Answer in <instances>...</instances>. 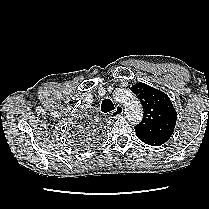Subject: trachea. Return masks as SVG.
<instances>
[{
	"instance_id": "obj_1",
	"label": "trachea",
	"mask_w": 209,
	"mask_h": 209,
	"mask_svg": "<svg viewBox=\"0 0 209 209\" xmlns=\"http://www.w3.org/2000/svg\"><path fill=\"white\" fill-rule=\"evenodd\" d=\"M114 109H115L114 104L110 99L106 98L102 101V103H101V111L102 112L108 113Z\"/></svg>"
}]
</instances>
